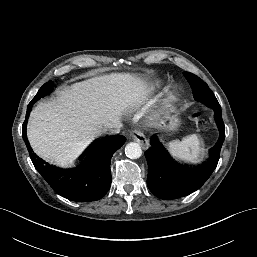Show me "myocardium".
<instances>
[{
  "label": "myocardium",
  "instance_id": "1",
  "mask_svg": "<svg viewBox=\"0 0 257 257\" xmlns=\"http://www.w3.org/2000/svg\"><path fill=\"white\" fill-rule=\"evenodd\" d=\"M175 98V96L174 95H171V99H174Z\"/></svg>",
  "mask_w": 257,
  "mask_h": 257
}]
</instances>
